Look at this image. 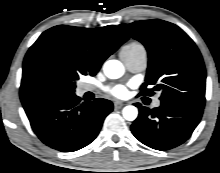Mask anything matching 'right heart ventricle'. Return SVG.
Instances as JSON below:
<instances>
[{"label":"right heart ventricle","instance_id":"obj_1","mask_svg":"<svg viewBox=\"0 0 220 173\" xmlns=\"http://www.w3.org/2000/svg\"><path fill=\"white\" fill-rule=\"evenodd\" d=\"M138 51H144V48L141 44L137 42L130 43L123 47L122 52H138Z\"/></svg>","mask_w":220,"mask_h":173}]
</instances>
